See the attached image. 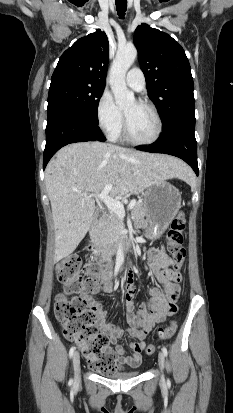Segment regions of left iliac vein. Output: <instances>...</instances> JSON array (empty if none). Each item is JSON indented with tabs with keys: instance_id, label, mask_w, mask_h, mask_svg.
I'll use <instances>...</instances> for the list:
<instances>
[{
	"instance_id": "1",
	"label": "left iliac vein",
	"mask_w": 233,
	"mask_h": 413,
	"mask_svg": "<svg viewBox=\"0 0 233 413\" xmlns=\"http://www.w3.org/2000/svg\"><path fill=\"white\" fill-rule=\"evenodd\" d=\"M158 363H159L160 369L163 370L164 364H165V355L163 352H160L158 355ZM162 380H163V377H162Z\"/></svg>"
}]
</instances>
